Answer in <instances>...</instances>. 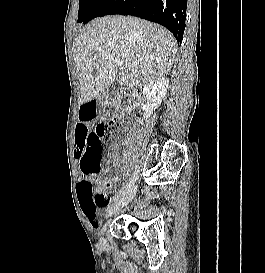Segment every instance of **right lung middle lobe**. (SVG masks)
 <instances>
[{"mask_svg":"<svg viewBox=\"0 0 265 273\" xmlns=\"http://www.w3.org/2000/svg\"><path fill=\"white\" fill-rule=\"evenodd\" d=\"M117 0H79L78 23L107 15Z\"/></svg>","mask_w":265,"mask_h":273,"instance_id":"dd1d6c3e","label":"right lung middle lobe"}]
</instances>
